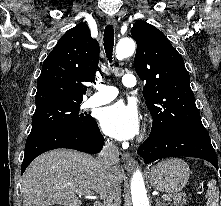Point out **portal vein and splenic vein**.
Instances as JSON below:
<instances>
[{
	"label": "portal vein and splenic vein",
	"mask_w": 221,
	"mask_h": 206,
	"mask_svg": "<svg viewBox=\"0 0 221 206\" xmlns=\"http://www.w3.org/2000/svg\"><path fill=\"white\" fill-rule=\"evenodd\" d=\"M88 195H92V193H88ZM89 197H90V198H94V196H89ZM168 197H169V196H167V195H162V196H161L162 199H166V200L168 199Z\"/></svg>",
	"instance_id": "18ae733b"
}]
</instances>
